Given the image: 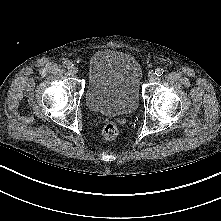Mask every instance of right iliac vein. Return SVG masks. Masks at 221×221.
<instances>
[{
  "mask_svg": "<svg viewBox=\"0 0 221 221\" xmlns=\"http://www.w3.org/2000/svg\"><path fill=\"white\" fill-rule=\"evenodd\" d=\"M70 72H71L72 74H76V73H78V68H77L76 66H72V67L70 68Z\"/></svg>",
  "mask_w": 221,
  "mask_h": 221,
  "instance_id": "63e3f726",
  "label": "right iliac vein"
}]
</instances>
